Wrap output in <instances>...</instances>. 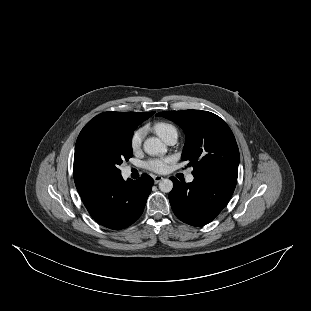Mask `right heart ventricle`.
Listing matches in <instances>:
<instances>
[{"instance_id":"1","label":"right heart ventricle","mask_w":311,"mask_h":311,"mask_svg":"<svg viewBox=\"0 0 311 311\" xmlns=\"http://www.w3.org/2000/svg\"><path fill=\"white\" fill-rule=\"evenodd\" d=\"M154 131L165 141L170 136L179 135L178 128L175 124L167 121L156 122L153 125Z\"/></svg>"}]
</instances>
